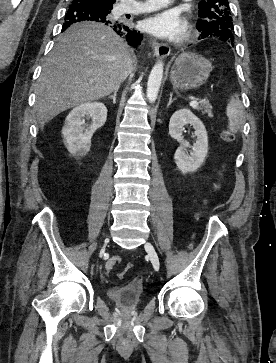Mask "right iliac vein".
<instances>
[{
	"label": "right iliac vein",
	"instance_id": "obj_1",
	"mask_svg": "<svg viewBox=\"0 0 276 363\" xmlns=\"http://www.w3.org/2000/svg\"><path fill=\"white\" fill-rule=\"evenodd\" d=\"M109 242V240L108 239H106L105 240V244H104V246L102 247V249H101V253H103L104 252V250H105V246L107 245V243Z\"/></svg>",
	"mask_w": 276,
	"mask_h": 363
}]
</instances>
